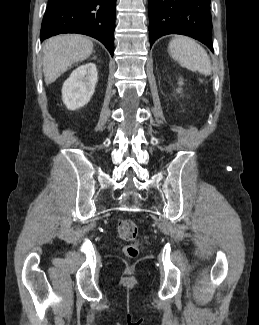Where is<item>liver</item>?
I'll return each instance as SVG.
<instances>
[{
	"label": "liver",
	"mask_w": 259,
	"mask_h": 325,
	"mask_svg": "<svg viewBox=\"0 0 259 325\" xmlns=\"http://www.w3.org/2000/svg\"><path fill=\"white\" fill-rule=\"evenodd\" d=\"M92 52V41L81 35H58L48 39L43 45L45 83L48 85L54 82L68 67L84 61Z\"/></svg>",
	"instance_id": "6515ba94"
}]
</instances>
